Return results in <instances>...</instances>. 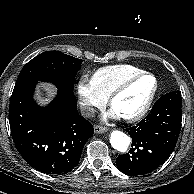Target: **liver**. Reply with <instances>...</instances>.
<instances>
[{
	"label": "liver",
	"instance_id": "liver-1",
	"mask_svg": "<svg viewBox=\"0 0 194 194\" xmlns=\"http://www.w3.org/2000/svg\"><path fill=\"white\" fill-rule=\"evenodd\" d=\"M45 97L41 99V103L45 104V103H49L51 101V98L53 97L54 93L56 92V89L53 87H47L45 89Z\"/></svg>",
	"mask_w": 194,
	"mask_h": 194
}]
</instances>
